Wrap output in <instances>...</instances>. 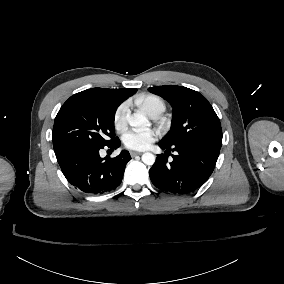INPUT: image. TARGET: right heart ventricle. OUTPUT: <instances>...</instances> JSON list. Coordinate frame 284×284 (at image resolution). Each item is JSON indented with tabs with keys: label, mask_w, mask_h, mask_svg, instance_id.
Instances as JSON below:
<instances>
[{
	"label": "right heart ventricle",
	"mask_w": 284,
	"mask_h": 284,
	"mask_svg": "<svg viewBox=\"0 0 284 284\" xmlns=\"http://www.w3.org/2000/svg\"><path fill=\"white\" fill-rule=\"evenodd\" d=\"M142 106L150 116L160 115L165 110L164 100L155 94H146L141 99Z\"/></svg>",
	"instance_id": "right-heart-ventricle-1"
}]
</instances>
